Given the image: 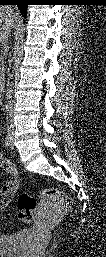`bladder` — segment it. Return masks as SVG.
<instances>
[{
	"label": "bladder",
	"mask_w": 106,
	"mask_h": 257,
	"mask_svg": "<svg viewBox=\"0 0 106 257\" xmlns=\"http://www.w3.org/2000/svg\"><path fill=\"white\" fill-rule=\"evenodd\" d=\"M31 239V232L28 230L1 236V257H27Z\"/></svg>",
	"instance_id": "1"
}]
</instances>
